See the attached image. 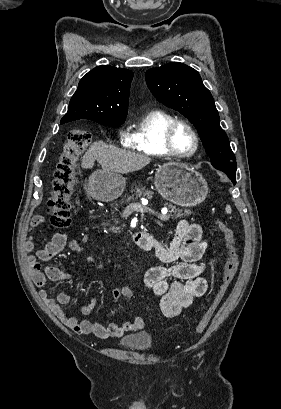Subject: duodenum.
Instances as JSON below:
<instances>
[{
  "label": "duodenum",
  "mask_w": 281,
  "mask_h": 409,
  "mask_svg": "<svg viewBox=\"0 0 281 409\" xmlns=\"http://www.w3.org/2000/svg\"><path fill=\"white\" fill-rule=\"evenodd\" d=\"M151 237L143 233H135L133 235L134 243L144 251L151 250Z\"/></svg>",
  "instance_id": "obj_1"
}]
</instances>
